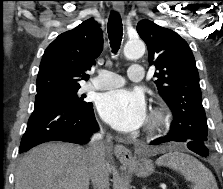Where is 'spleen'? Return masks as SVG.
<instances>
[{
  "label": "spleen",
  "mask_w": 223,
  "mask_h": 189,
  "mask_svg": "<svg viewBox=\"0 0 223 189\" xmlns=\"http://www.w3.org/2000/svg\"><path fill=\"white\" fill-rule=\"evenodd\" d=\"M156 164L178 171L187 181L192 182V189H218L212 172L188 154L169 152L159 157Z\"/></svg>",
  "instance_id": "1"
}]
</instances>
